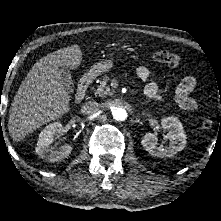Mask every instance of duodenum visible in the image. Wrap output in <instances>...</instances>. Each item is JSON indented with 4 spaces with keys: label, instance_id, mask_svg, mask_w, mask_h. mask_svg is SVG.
Instances as JSON below:
<instances>
[{
    "label": "duodenum",
    "instance_id": "obj_1",
    "mask_svg": "<svg viewBox=\"0 0 221 221\" xmlns=\"http://www.w3.org/2000/svg\"><path fill=\"white\" fill-rule=\"evenodd\" d=\"M92 80H93V77L91 74H86L80 79L79 84H78V88H77V91L75 94L76 103H81L84 100L87 90H88Z\"/></svg>",
    "mask_w": 221,
    "mask_h": 221
}]
</instances>
